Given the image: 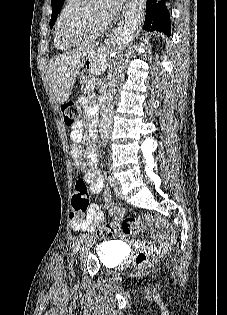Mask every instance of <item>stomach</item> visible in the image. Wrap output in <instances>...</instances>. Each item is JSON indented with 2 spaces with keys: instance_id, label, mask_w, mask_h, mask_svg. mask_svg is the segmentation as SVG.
I'll list each match as a JSON object with an SVG mask.
<instances>
[{
  "instance_id": "0dacf381",
  "label": "stomach",
  "mask_w": 227,
  "mask_h": 315,
  "mask_svg": "<svg viewBox=\"0 0 227 315\" xmlns=\"http://www.w3.org/2000/svg\"><path fill=\"white\" fill-rule=\"evenodd\" d=\"M93 59H94V55L90 54L87 56V59L85 62L86 68L84 69V73H83L85 82H92L93 81L92 74H93V71H95L97 69Z\"/></svg>"
}]
</instances>
